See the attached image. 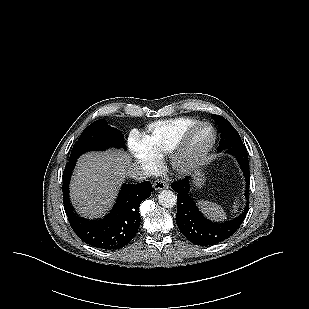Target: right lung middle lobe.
Segmentation results:
<instances>
[{
	"instance_id": "dd1d6c3e",
	"label": "right lung middle lobe",
	"mask_w": 309,
	"mask_h": 309,
	"mask_svg": "<svg viewBox=\"0 0 309 309\" xmlns=\"http://www.w3.org/2000/svg\"><path fill=\"white\" fill-rule=\"evenodd\" d=\"M125 147V140L118 129L109 126L105 120L90 124L80 135L71 151L70 160L93 150H105L109 147Z\"/></svg>"
}]
</instances>
